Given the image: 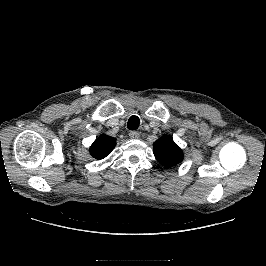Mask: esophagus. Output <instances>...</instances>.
I'll use <instances>...</instances> for the list:
<instances>
[{"label":"esophagus","instance_id":"1","mask_svg":"<svg viewBox=\"0 0 266 266\" xmlns=\"http://www.w3.org/2000/svg\"><path fill=\"white\" fill-rule=\"evenodd\" d=\"M129 137H130L131 139H138V138L140 137V135H139V133L136 132V131H130V133H129Z\"/></svg>","mask_w":266,"mask_h":266}]
</instances>
